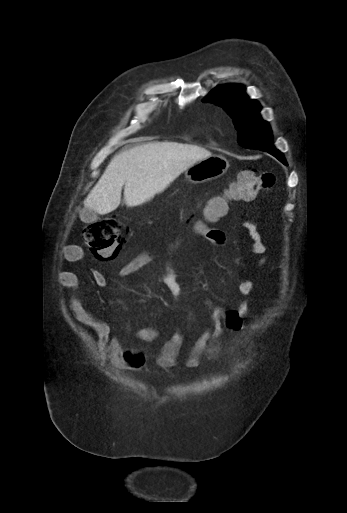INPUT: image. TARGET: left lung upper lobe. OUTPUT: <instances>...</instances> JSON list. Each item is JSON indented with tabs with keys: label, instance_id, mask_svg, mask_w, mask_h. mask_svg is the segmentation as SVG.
<instances>
[{
	"label": "left lung upper lobe",
	"instance_id": "5c2ea615",
	"mask_svg": "<svg viewBox=\"0 0 347 513\" xmlns=\"http://www.w3.org/2000/svg\"><path fill=\"white\" fill-rule=\"evenodd\" d=\"M203 102H213L228 112L238 130V142L243 147L267 152L276 150L272 144L270 126L259 114L260 104L249 99L242 85L216 87Z\"/></svg>",
	"mask_w": 347,
	"mask_h": 513
}]
</instances>
